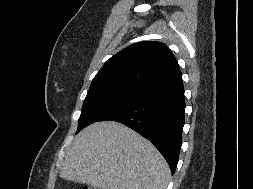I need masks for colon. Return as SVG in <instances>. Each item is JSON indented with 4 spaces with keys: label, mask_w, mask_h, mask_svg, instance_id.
I'll use <instances>...</instances> for the list:
<instances>
[{
    "label": "colon",
    "mask_w": 253,
    "mask_h": 189,
    "mask_svg": "<svg viewBox=\"0 0 253 189\" xmlns=\"http://www.w3.org/2000/svg\"><path fill=\"white\" fill-rule=\"evenodd\" d=\"M80 189H94V188H91V187H89L87 185H83V186L80 187Z\"/></svg>",
    "instance_id": "colon-1"
}]
</instances>
